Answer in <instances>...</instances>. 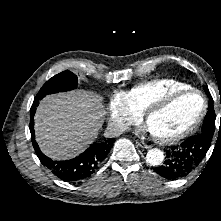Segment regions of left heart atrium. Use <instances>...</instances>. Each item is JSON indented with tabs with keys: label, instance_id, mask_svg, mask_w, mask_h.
I'll return each instance as SVG.
<instances>
[{
	"label": "left heart atrium",
	"instance_id": "left-heart-atrium-1",
	"mask_svg": "<svg viewBox=\"0 0 221 221\" xmlns=\"http://www.w3.org/2000/svg\"><path fill=\"white\" fill-rule=\"evenodd\" d=\"M145 130H149L148 127H146Z\"/></svg>",
	"mask_w": 221,
	"mask_h": 221
}]
</instances>
